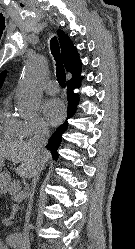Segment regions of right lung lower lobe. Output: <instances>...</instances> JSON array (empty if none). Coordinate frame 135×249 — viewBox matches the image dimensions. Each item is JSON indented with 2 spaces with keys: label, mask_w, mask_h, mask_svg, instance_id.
Listing matches in <instances>:
<instances>
[{
  "label": "right lung lower lobe",
  "mask_w": 135,
  "mask_h": 249,
  "mask_svg": "<svg viewBox=\"0 0 135 249\" xmlns=\"http://www.w3.org/2000/svg\"><path fill=\"white\" fill-rule=\"evenodd\" d=\"M82 78H77L74 80H70L67 82V99H68V116L67 118L73 117L76 112L77 104L79 103V95L74 94V89L79 88ZM68 123L67 121L63 123L58 129L54 132V134L49 139L47 144V148L51 151L53 158L57 159V149L61 142V136L64 133L65 129H67Z\"/></svg>",
  "instance_id": "98d812e1"
}]
</instances>
